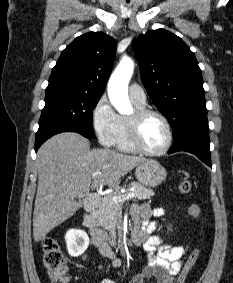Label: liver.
Segmentation results:
<instances>
[{"label":"liver","mask_w":233,"mask_h":283,"mask_svg":"<svg viewBox=\"0 0 233 283\" xmlns=\"http://www.w3.org/2000/svg\"><path fill=\"white\" fill-rule=\"evenodd\" d=\"M144 157L109 149L90 150L89 141L75 132H63L38 150V187L33 213V237L39 242L53 228L73 216L78 199L100 185L118 186L121 178ZM101 174L93 177L94 172Z\"/></svg>","instance_id":"liver-1"}]
</instances>
